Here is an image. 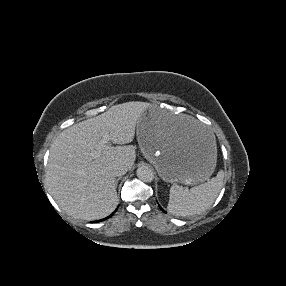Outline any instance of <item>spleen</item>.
Segmentation results:
<instances>
[{
  "label": "spleen",
  "instance_id": "1",
  "mask_svg": "<svg viewBox=\"0 0 286 286\" xmlns=\"http://www.w3.org/2000/svg\"><path fill=\"white\" fill-rule=\"evenodd\" d=\"M224 172L206 183L185 189L177 184L170 188L167 209L177 216H190L207 210L214 203L223 185Z\"/></svg>",
  "mask_w": 286,
  "mask_h": 286
}]
</instances>
